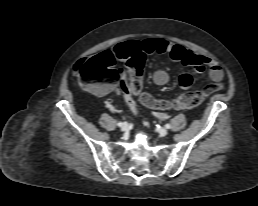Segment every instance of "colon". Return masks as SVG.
<instances>
[{
  "label": "colon",
  "instance_id": "5ec220e1",
  "mask_svg": "<svg viewBox=\"0 0 258 206\" xmlns=\"http://www.w3.org/2000/svg\"><path fill=\"white\" fill-rule=\"evenodd\" d=\"M77 81L86 88L101 84H114L121 81V86L129 107L136 112V98L147 107L164 111L168 109H191L199 106L209 94L222 89V84H210L202 91H191L180 95L173 101L164 102L154 99L143 91V56H136L127 61L124 69L115 66L114 57L103 52L91 58L79 60L74 66Z\"/></svg>",
  "mask_w": 258,
  "mask_h": 206
}]
</instances>
